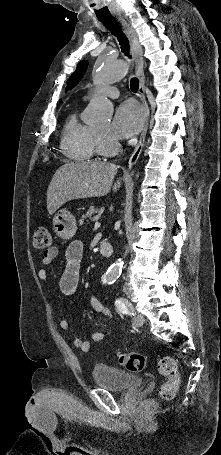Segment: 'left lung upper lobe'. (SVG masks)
I'll use <instances>...</instances> for the list:
<instances>
[{
  "label": "left lung upper lobe",
  "instance_id": "1",
  "mask_svg": "<svg viewBox=\"0 0 221 455\" xmlns=\"http://www.w3.org/2000/svg\"><path fill=\"white\" fill-rule=\"evenodd\" d=\"M86 69H87V61H81L78 64L76 71L69 78V80L67 82V89H72L75 85H77V83L79 82L81 77L84 75Z\"/></svg>",
  "mask_w": 221,
  "mask_h": 455
}]
</instances>
